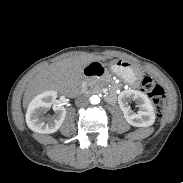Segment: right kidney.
<instances>
[{"label":"right kidney","mask_w":183,"mask_h":183,"mask_svg":"<svg viewBox=\"0 0 183 183\" xmlns=\"http://www.w3.org/2000/svg\"><path fill=\"white\" fill-rule=\"evenodd\" d=\"M55 98L56 92L51 90L36 96L30 102L26 113V123L32 131L50 134L60 128L66 116V109L63 106L55 105ZM52 106L55 114L45 117V112Z\"/></svg>","instance_id":"obj_1"}]
</instances>
